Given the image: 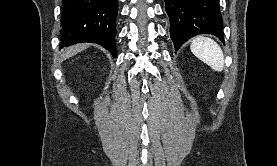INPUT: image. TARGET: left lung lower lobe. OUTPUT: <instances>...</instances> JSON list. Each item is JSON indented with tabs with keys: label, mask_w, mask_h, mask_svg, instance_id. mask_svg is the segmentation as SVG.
<instances>
[{
	"label": "left lung lower lobe",
	"mask_w": 277,
	"mask_h": 166,
	"mask_svg": "<svg viewBox=\"0 0 277 166\" xmlns=\"http://www.w3.org/2000/svg\"><path fill=\"white\" fill-rule=\"evenodd\" d=\"M165 4L176 50L198 34H212L224 42L217 0H165Z\"/></svg>",
	"instance_id": "1"
}]
</instances>
